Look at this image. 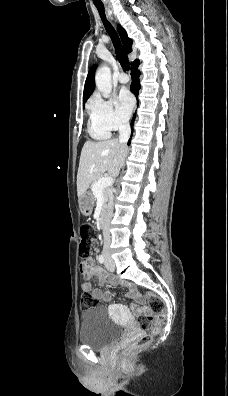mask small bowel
I'll use <instances>...</instances> for the list:
<instances>
[{
	"label": "small bowel",
	"instance_id": "1",
	"mask_svg": "<svg viewBox=\"0 0 228 396\" xmlns=\"http://www.w3.org/2000/svg\"><path fill=\"white\" fill-rule=\"evenodd\" d=\"M80 272L84 278V283L81 285V289L84 293H91L96 299L109 301L111 299V295L108 292H104L100 288L92 289V285L89 282L90 278L96 276L102 283H108L111 285L119 284V281L116 277L107 274L102 268L95 265L92 258H90L86 263H81ZM129 288V293L131 297L135 300V304H132L130 310L135 315H142L148 312L146 306L142 304L141 296L136 292L134 287L131 284L127 285ZM116 308H122L121 306H116Z\"/></svg>",
	"mask_w": 228,
	"mask_h": 396
}]
</instances>
